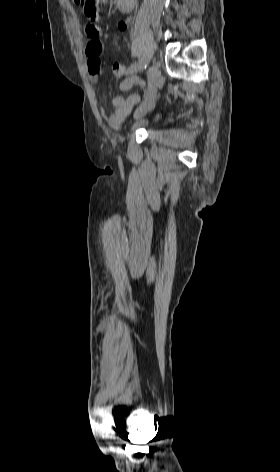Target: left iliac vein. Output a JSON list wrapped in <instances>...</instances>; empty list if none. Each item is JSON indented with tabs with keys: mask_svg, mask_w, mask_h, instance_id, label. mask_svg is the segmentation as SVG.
<instances>
[{
	"mask_svg": "<svg viewBox=\"0 0 280 472\" xmlns=\"http://www.w3.org/2000/svg\"><path fill=\"white\" fill-rule=\"evenodd\" d=\"M159 70L156 66H151L147 72V79H148V88L145 100L140 105V107L135 112L136 118L143 117L147 112H149L155 104L156 96H157V86H158V78H159Z\"/></svg>",
	"mask_w": 280,
	"mask_h": 472,
	"instance_id": "obj_1",
	"label": "left iliac vein"
}]
</instances>
